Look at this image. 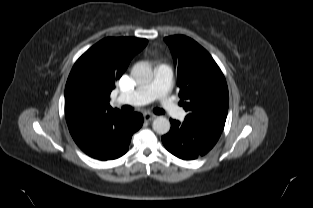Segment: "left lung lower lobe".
Here are the masks:
<instances>
[{"mask_svg": "<svg viewBox=\"0 0 313 208\" xmlns=\"http://www.w3.org/2000/svg\"><path fill=\"white\" fill-rule=\"evenodd\" d=\"M171 129L162 136L166 149L178 158L184 160L196 159L205 155L218 141L221 132L198 128L188 122L170 119Z\"/></svg>", "mask_w": 313, "mask_h": 208, "instance_id": "1", "label": "left lung lower lobe"}]
</instances>
